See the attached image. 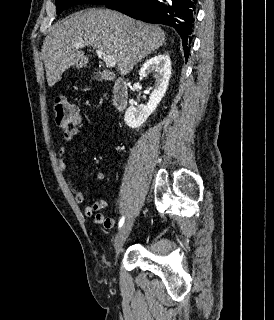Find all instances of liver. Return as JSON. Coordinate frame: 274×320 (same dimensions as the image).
<instances>
[{"mask_svg":"<svg viewBox=\"0 0 274 320\" xmlns=\"http://www.w3.org/2000/svg\"><path fill=\"white\" fill-rule=\"evenodd\" d=\"M165 40V32L159 26L144 24L120 12L101 8L75 12L55 24L43 42L48 86H55L71 66L86 68L89 60L84 52H79L77 44H88L113 56L120 76H127L138 62L161 48Z\"/></svg>","mask_w":274,"mask_h":320,"instance_id":"6515ba94","label":"liver"}]
</instances>
